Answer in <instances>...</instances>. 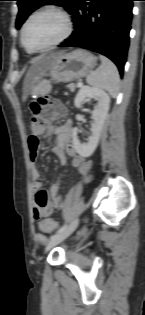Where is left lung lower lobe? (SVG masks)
I'll list each match as a JSON object with an SVG mask.
<instances>
[{"mask_svg":"<svg viewBox=\"0 0 145 315\" xmlns=\"http://www.w3.org/2000/svg\"><path fill=\"white\" fill-rule=\"evenodd\" d=\"M134 0H78L73 10L75 30L61 47L74 46L110 58L123 75L129 47Z\"/></svg>","mask_w":145,"mask_h":315,"instance_id":"obj_1","label":"left lung lower lobe"}]
</instances>
